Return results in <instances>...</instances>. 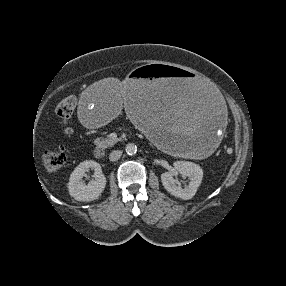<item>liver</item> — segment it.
Listing matches in <instances>:
<instances>
[{
	"instance_id": "6515ba94",
	"label": "liver",
	"mask_w": 286,
	"mask_h": 286,
	"mask_svg": "<svg viewBox=\"0 0 286 286\" xmlns=\"http://www.w3.org/2000/svg\"><path fill=\"white\" fill-rule=\"evenodd\" d=\"M118 89L121 91V93L123 94L124 100L127 98V96L125 95V92H127V84L125 83L123 86L119 85ZM99 92V91H98Z\"/></svg>"
}]
</instances>
